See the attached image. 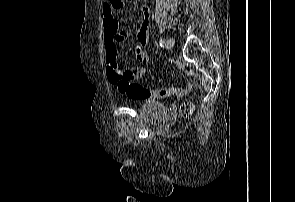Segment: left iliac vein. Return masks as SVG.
I'll return each mask as SVG.
<instances>
[{
	"label": "left iliac vein",
	"mask_w": 295,
	"mask_h": 202,
	"mask_svg": "<svg viewBox=\"0 0 295 202\" xmlns=\"http://www.w3.org/2000/svg\"><path fill=\"white\" fill-rule=\"evenodd\" d=\"M173 46H174V40L172 38H169L165 43V47L167 49H172Z\"/></svg>",
	"instance_id": "4c4485c4"
}]
</instances>
